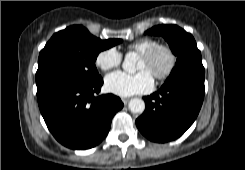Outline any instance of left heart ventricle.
<instances>
[{
    "label": "left heart ventricle",
    "instance_id": "obj_1",
    "mask_svg": "<svg viewBox=\"0 0 245 170\" xmlns=\"http://www.w3.org/2000/svg\"><path fill=\"white\" fill-rule=\"evenodd\" d=\"M168 63V55L164 51H161L152 60H145L140 57L137 63V70H147L152 75H155L164 71Z\"/></svg>",
    "mask_w": 245,
    "mask_h": 170
}]
</instances>
